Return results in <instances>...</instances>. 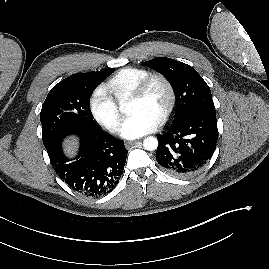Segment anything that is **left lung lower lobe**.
Masks as SVG:
<instances>
[{
    "label": "left lung lower lobe",
    "instance_id": "obj_1",
    "mask_svg": "<svg viewBox=\"0 0 269 269\" xmlns=\"http://www.w3.org/2000/svg\"><path fill=\"white\" fill-rule=\"evenodd\" d=\"M217 137L216 113H194L157 135L156 160L174 176H192L211 159Z\"/></svg>",
    "mask_w": 269,
    "mask_h": 269
}]
</instances>
